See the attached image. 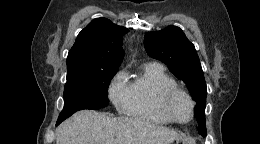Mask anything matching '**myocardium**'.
Segmentation results:
<instances>
[{"mask_svg": "<svg viewBox=\"0 0 260 144\" xmlns=\"http://www.w3.org/2000/svg\"><path fill=\"white\" fill-rule=\"evenodd\" d=\"M184 96L190 103L191 106V114L188 120H180L178 119L171 110V102L172 100L178 96ZM157 107L159 111L171 122L177 124H187L191 122L194 118L195 114V101L192 96L184 89L174 86L169 87L161 91L158 100H157Z\"/></svg>", "mask_w": 260, "mask_h": 144, "instance_id": "obj_1", "label": "myocardium"}]
</instances>
